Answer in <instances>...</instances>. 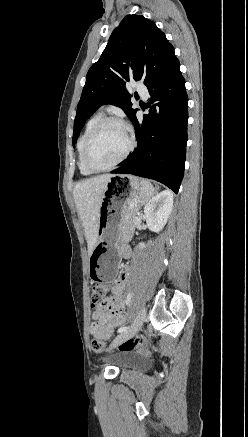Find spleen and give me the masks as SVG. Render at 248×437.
<instances>
[{
	"instance_id": "obj_1",
	"label": "spleen",
	"mask_w": 248,
	"mask_h": 437,
	"mask_svg": "<svg viewBox=\"0 0 248 437\" xmlns=\"http://www.w3.org/2000/svg\"><path fill=\"white\" fill-rule=\"evenodd\" d=\"M141 186H142V194L140 196V202L144 204L148 202L149 199L153 196L154 188L149 181L144 179L141 180Z\"/></svg>"
}]
</instances>
